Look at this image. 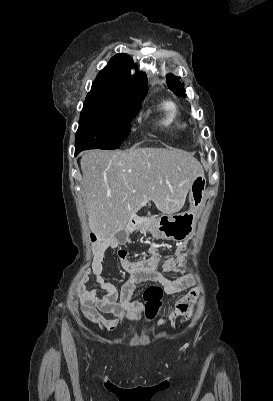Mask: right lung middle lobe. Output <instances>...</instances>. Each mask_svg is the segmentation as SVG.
<instances>
[{
  "instance_id": "1",
  "label": "right lung middle lobe",
  "mask_w": 273,
  "mask_h": 401,
  "mask_svg": "<svg viewBox=\"0 0 273 401\" xmlns=\"http://www.w3.org/2000/svg\"><path fill=\"white\" fill-rule=\"evenodd\" d=\"M139 107L85 100L76 133L75 150L117 149L130 133Z\"/></svg>"
}]
</instances>
